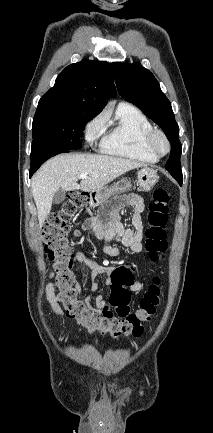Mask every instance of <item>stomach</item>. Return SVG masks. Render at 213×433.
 <instances>
[{
	"mask_svg": "<svg viewBox=\"0 0 213 433\" xmlns=\"http://www.w3.org/2000/svg\"><path fill=\"white\" fill-rule=\"evenodd\" d=\"M137 185L140 191L149 192L156 182L158 181V175L156 172L148 167L142 168L138 171ZM131 183L128 179L123 178L114 185L102 187L94 192H90L89 204L91 206H103L108 203V200L121 192L129 190Z\"/></svg>",
	"mask_w": 213,
	"mask_h": 433,
	"instance_id": "0dacf381",
	"label": "stomach"
}]
</instances>
